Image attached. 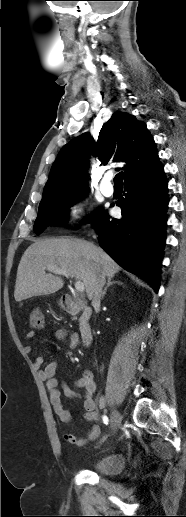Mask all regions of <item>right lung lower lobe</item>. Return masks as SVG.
<instances>
[{"label": "right lung lower lobe", "mask_w": 186, "mask_h": 517, "mask_svg": "<svg viewBox=\"0 0 186 517\" xmlns=\"http://www.w3.org/2000/svg\"><path fill=\"white\" fill-rule=\"evenodd\" d=\"M117 202L122 218L101 211L93 220L100 246L123 268L159 289L160 266L165 243L167 180L158 161L151 168L125 181Z\"/></svg>", "instance_id": "1"}]
</instances>
